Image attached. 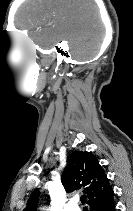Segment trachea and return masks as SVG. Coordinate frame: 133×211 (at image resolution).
I'll list each match as a JSON object with an SVG mask.
<instances>
[{"instance_id":"1","label":"trachea","mask_w":133,"mask_h":211,"mask_svg":"<svg viewBox=\"0 0 133 211\" xmlns=\"http://www.w3.org/2000/svg\"><path fill=\"white\" fill-rule=\"evenodd\" d=\"M80 200H81L82 203H85V201H86V196H85V195H82V196L80 197Z\"/></svg>"}]
</instances>
